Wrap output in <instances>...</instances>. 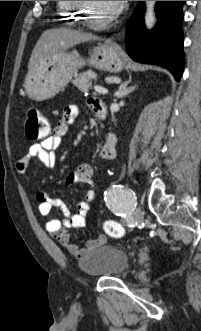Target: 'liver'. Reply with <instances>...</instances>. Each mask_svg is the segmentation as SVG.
Instances as JSON below:
<instances>
[{"label":"liver","mask_w":201,"mask_h":331,"mask_svg":"<svg viewBox=\"0 0 201 331\" xmlns=\"http://www.w3.org/2000/svg\"><path fill=\"white\" fill-rule=\"evenodd\" d=\"M97 36L92 34L72 30L69 28H57L46 30L42 33L37 41L29 63V72L38 68L39 65L44 64L46 60L54 55L64 52L77 44L85 41L98 40Z\"/></svg>","instance_id":"liver-1"}]
</instances>
